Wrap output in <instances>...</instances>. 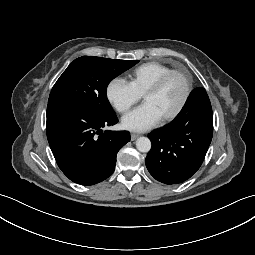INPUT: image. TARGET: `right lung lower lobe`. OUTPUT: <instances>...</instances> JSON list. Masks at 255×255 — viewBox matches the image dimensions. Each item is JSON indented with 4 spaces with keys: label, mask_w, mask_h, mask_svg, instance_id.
Segmentation results:
<instances>
[{
    "label": "right lung lower lobe",
    "mask_w": 255,
    "mask_h": 255,
    "mask_svg": "<svg viewBox=\"0 0 255 255\" xmlns=\"http://www.w3.org/2000/svg\"><path fill=\"white\" fill-rule=\"evenodd\" d=\"M118 122L115 113L101 115L71 104L47 106V138L61 171L73 182L93 185L114 171L128 132L102 131Z\"/></svg>",
    "instance_id": "1"
}]
</instances>
